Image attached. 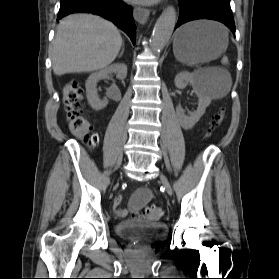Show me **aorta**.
<instances>
[{
    "label": "aorta",
    "instance_id": "762f6f07",
    "mask_svg": "<svg viewBox=\"0 0 279 279\" xmlns=\"http://www.w3.org/2000/svg\"><path fill=\"white\" fill-rule=\"evenodd\" d=\"M177 21V13L173 6L165 8L158 18L151 39V49L160 52L169 42Z\"/></svg>",
    "mask_w": 279,
    "mask_h": 279
}]
</instances>
